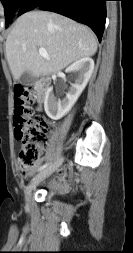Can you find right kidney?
<instances>
[{
	"instance_id": "right-kidney-1",
	"label": "right kidney",
	"mask_w": 133,
	"mask_h": 253,
	"mask_svg": "<svg viewBox=\"0 0 133 253\" xmlns=\"http://www.w3.org/2000/svg\"><path fill=\"white\" fill-rule=\"evenodd\" d=\"M93 69L94 61L89 57L79 59L66 69L67 73H73L75 75V82L71 84L66 96L62 99L55 96L52 88L47 91L44 108L48 117L53 120H58L70 111L86 87Z\"/></svg>"
}]
</instances>
